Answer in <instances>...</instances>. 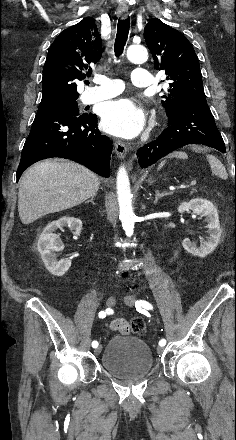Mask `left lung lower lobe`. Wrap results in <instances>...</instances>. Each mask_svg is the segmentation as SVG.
Segmentation results:
<instances>
[{
  "label": "left lung lower lobe",
  "mask_w": 236,
  "mask_h": 440,
  "mask_svg": "<svg viewBox=\"0 0 236 440\" xmlns=\"http://www.w3.org/2000/svg\"><path fill=\"white\" fill-rule=\"evenodd\" d=\"M187 144H204L226 152L206 99L185 104L175 117L168 120V127L156 140L137 151L138 162L141 168H146Z\"/></svg>",
  "instance_id": "obj_1"
}]
</instances>
